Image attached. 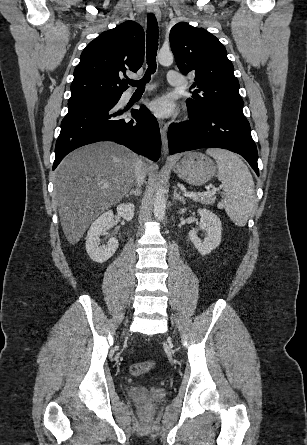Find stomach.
Returning a JSON list of instances; mask_svg holds the SVG:
<instances>
[{"label":"stomach","mask_w":307,"mask_h":445,"mask_svg":"<svg viewBox=\"0 0 307 445\" xmlns=\"http://www.w3.org/2000/svg\"><path fill=\"white\" fill-rule=\"evenodd\" d=\"M174 172L189 184H205L216 174L217 166L206 154L188 152L180 162L173 166Z\"/></svg>","instance_id":"obj_1"}]
</instances>
